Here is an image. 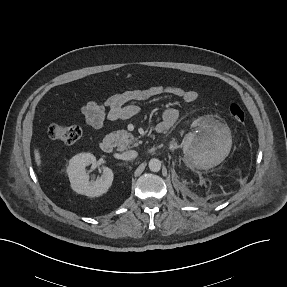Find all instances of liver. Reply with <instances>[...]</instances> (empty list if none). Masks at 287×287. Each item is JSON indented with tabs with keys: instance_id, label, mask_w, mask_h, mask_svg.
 Segmentation results:
<instances>
[{
	"instance_id": "liver-1",
	"label": "liver",
	"mask_w": 287,
	"mask_h": 287,
	"mask_svg": "<svg viewBox=\"0 0 287 287\" xmlns=\"http://www.w3.org/2000/svg\"><path fill=\"white\" fill-rule=\"evenodd\" d=\"M34 158H35V162H36L38 168L40 169L42 161H41V154H40L38 148L34 149Z\"/></svg>"
}]
</instances>
